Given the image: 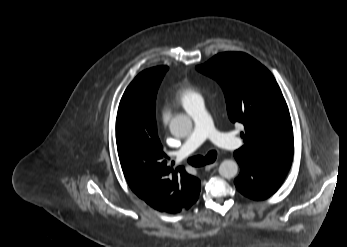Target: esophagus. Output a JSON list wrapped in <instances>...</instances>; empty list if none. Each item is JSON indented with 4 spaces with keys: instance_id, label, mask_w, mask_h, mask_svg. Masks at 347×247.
I'll use <instances>...</instances> for the list:
<instances>
[{
    "instance_id": "34e87169",
    "label": "esophagus",
    "mask_w": 347,
    "mask_h": 247,
    "mask_svg": "<svg viewBox=\"0 0 347 247\" xmlns=\"http://www.w3.org/2000/svg\"><path fill=\"white\" fill-rule=\"evenodd\" d=\"M218 166V162H214V163H211V164H207L205 166V170L206 171H209L210 169L214 168V167H217Z\"/></svg>"
}]
</instances>
